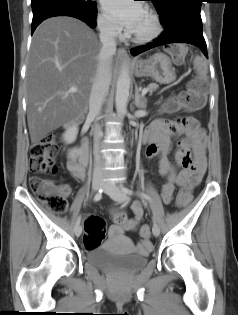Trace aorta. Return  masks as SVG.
<instances>
[{
	"label": "aorta",
	"instance_id": "1",
	"mask_svg": "<svg viewBox=\"0 0 238 315\" xmlns=\"http://www.w3.org/2000/svg\"><path fill=\"white\" fill-rule=\"evenodd\" d=\"M130 89V76L127 66L123 65L116 83L115 105L119 116L127 113V103Z\"/></svg>",
	"mask_w": 238,
	"mask_h": 315
}]
</instances>
